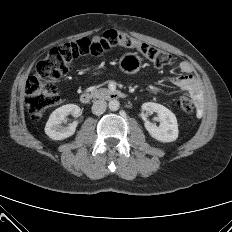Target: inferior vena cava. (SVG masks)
I'll return each instance as SVG.
<instances>
[{
	"mask_svg": "<svg viewBox=\"0 0 232 232\" xmlns=\"http://www.w3.org/2000/svg\"><path fill=\"white\" fill-rule=\"evenodd\" d=\"M107 103L104 100H97L92 105V113L95 115H101L105 112Z\"/></svg>",
	"mask_w": 232,
	"mask_h": 232,
	"instance_id": "602c4592",
	"label": "inferior vena cava"
}]
</instances>
